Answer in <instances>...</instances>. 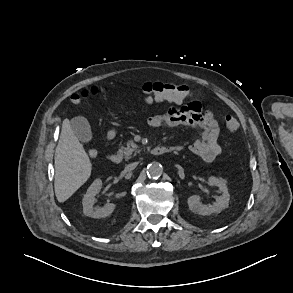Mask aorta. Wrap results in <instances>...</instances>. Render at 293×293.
Instances as JSON below:
<instances>
[{
  "label": "aorta",
  "instance_id": "aorta-1",
  "mask_svg": "<svg viewBox=\"0 0 293 293\" xmlns=\"http://www.w3.org/2000/svg\"><path fill=\"white\" fill-rule=\"evenodd\" d=\"M147 175L150 178H159L163 173V166L159 162H152L147 166Z\"/></svg>",
  "mask_w": 293,
  "mask_h": 293
}]
</instances>
